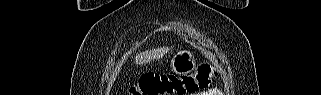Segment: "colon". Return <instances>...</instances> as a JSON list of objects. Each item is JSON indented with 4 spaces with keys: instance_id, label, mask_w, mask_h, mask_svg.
I'll return each mask as SVG.
<instances>
[{
    "instance_id": "1",
    "label": "colon",
    "mask_w": 321,
    "mask_h": 95,
    "mask_svg": "<svg viewBox=\"0 0 321 95\" xmlns=\"http://www.w3.org/2000/svg\"><path fill=\"white\" fill-rule=\"evenodd\" d=\"M216 76V70L207 65L193 75H144L131 91L136 95H184L207 88Z\"/></svg>"
}]
</instances>
